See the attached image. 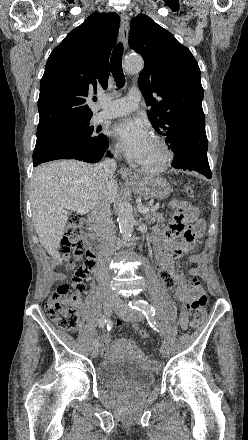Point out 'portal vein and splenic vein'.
I'll use <instances>...</instances> for the list:
<instances>
[{
    "mask_svg": "<svg viewBox=\"0 0 248 440\" xmlns=\"http://www.w3.org/2000/svg\"><path fill=\"white\" fill-rule=\"evenodd\" d=\"M61 204L66 209L76 211L79 214L88 213V210L76 201L64 199V200H61ZM137 208H138L139 212H141L143 214L148 213V211H149L148 207L141 205V204H138Z\"/></svg>",
    "mask_w": 248,
    "mask_h": 440,
    "instance_id": "portal-vein-and-splenic-vein-1",
    "label": "portal vein and splenic vein"
}]
</instances>
